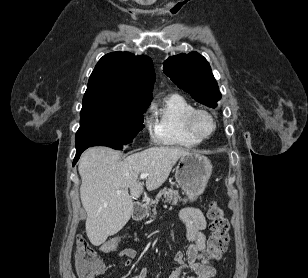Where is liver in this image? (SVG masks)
<instances>
[{
    "mask_svg": "<svg viewBox=\"0 0 308 278\" xmlns=\"http://www.w3.org/2000/svg\"><path fill=\"white\" fill-rule=\"evenodd\" d=\"M189 153L180 147H151L120 161V153L114 149H87L80 158L78 171L90 242L101 245L129 221L133 199L143 192V184L138 180L141 173H148L146 188L155 190L166 181L178 159ZM118 190L122 193L117 194Z\"/></svg>",
    "mask_w": 308,
    "mask_h": 278,
    "instance_id": "obj_1",
    "label": "liver"
}]
</instances>
